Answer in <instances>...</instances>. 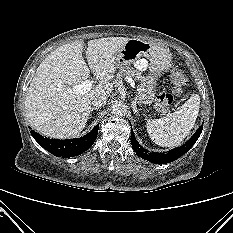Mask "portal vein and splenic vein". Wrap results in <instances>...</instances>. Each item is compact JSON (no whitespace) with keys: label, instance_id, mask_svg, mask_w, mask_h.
<instances>
[{"label":"portal vein and splenic vein","instance_id":"obj_1","mask_svg":"<svg viewBox=\"0 0 233 233\" xmlns=\"http://www.w3.org/2000/svg\"><path fill=\"white\" fill-rule=\"evenodd\" d=\"M126 80H127L128 82L131 81V79L128 78V77L126 78ZM92 88H93V81L90 80V79H88V80L82 82L81 84L75 85V86L73 87V91H74V92H77V93H85V92H87L88 90H91Z\"/></svg>","mask_w":233,"mask_h":233}]
</instances>
